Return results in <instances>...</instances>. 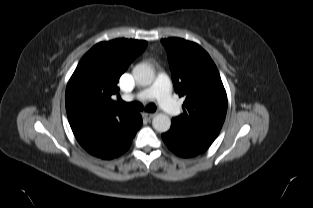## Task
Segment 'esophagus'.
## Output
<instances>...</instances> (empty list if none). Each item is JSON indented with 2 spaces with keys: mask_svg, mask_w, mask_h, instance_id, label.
I'll return each instance as SVG.
<instances>
[{
  "mask_svg": "<svg viewBox=\"0 0 313 208\" xmlns=\"http://www.w3.org/2000/svg\"><path fill=\"white\" fill-rule=\"evenodd\" d=\"M143 116H144V118L150 120V119H152L155 116V114L154 113L144 112Z\"/></svg>",
  "mask_w": 313,
  "mask_h": 208,
  "instance_id": "esophagus-1",
  "label": "esophagus"
}]
</instances>
